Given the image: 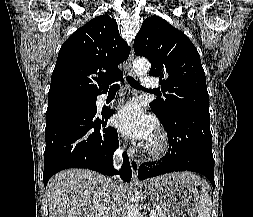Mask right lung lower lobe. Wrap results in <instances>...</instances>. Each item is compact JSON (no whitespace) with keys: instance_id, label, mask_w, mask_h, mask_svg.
Segmentation results:
<instances>
[{"instance_id":"1","label":"right lung lower lobe","mask_w":253,"mask_h":217,"mask_svg":"<svg viewBox=\"0 0 253 217\" xmlns=\"http://www.w3.org/2000/svg\"><path fill=\"white\" fill-rule=\"evenodd\" d=\"M114 111L67 108L46 115L43 182L68 168H88L104 175L119 174L129 182L132 171L127 153L119 172L113 167V153L118 147L117 131L107 126Z\"/></svg>"}]
</instances>
